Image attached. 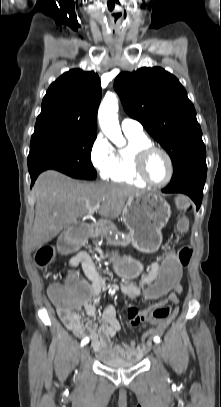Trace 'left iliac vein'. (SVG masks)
I'll list each match as a JSON object with an SVG mask.
<instances>
[{
	"label": "left iliac vein",
	"mask_w": 221,
	"mask_h": 407,
	"mask_svg": "<svg viewBox=\"0 0 221 407\" xmlns=\"http://www.w3.org/2000/svg\"><path fill=\"white\" fill-rule=\"evenodd\" d=\"M154 353L157 356L158 359H161L162 356V347L159 343H155L153 347Z\"/></svg>",
	"instance_id": "4c4485c4"
}]
</instances>
